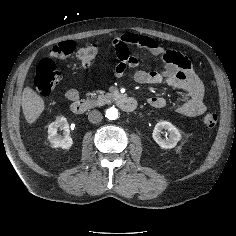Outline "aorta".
<instances>
[{
  "label": "aorta",
  "instance_id": "obj_1",
  "mask_svg": "<svg viewBox=\"0 0 236 236\" xmlns=\"http://www.w3.org/2000/svg\"><path fill=\"white\" fill-rule=\"evenodd\" d=\"M105 116L109 120H116L118 118V110L114 107H111L106 110Z\"/></svg>",
  "mask_w": 236,
  "mask_h": 236
}]
</instances>
